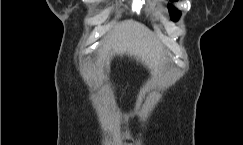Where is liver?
<instances>
[{
	"label": "liver",
	"mask_w": 243,
	"mask_h": 145,
	"mask_svg": "<svg viewBox=\"0 0 243 145\" xmlns=\"http://www.w3.org/2000/svg\"><path fill=\"white\" fill-rule=\"evenodd\" d=\"M109 67L110 58L124 54L134 57L150 69L165 60V51L156 35L144 25L129 20L117 24L99 50Z\"/></svg>",
	"instance_id": "6515ba94"
}]
</instances>
